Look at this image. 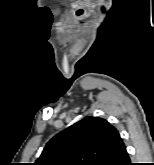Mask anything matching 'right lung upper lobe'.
Segmentation results:
<instances>
[{
	"mask_svg": "<svg viewBox=\"0 0 154 165\" xmlns=\"http://www.w3.org/2000/svg\"><path fill=\"white\" fill-rule=\"evenodd\" d=\"M120 140L105 119L86 117L54 136L34 165H106Z\"/></svg>",
	"mask_w": 154,
	"mask_h": 165,
	"instance_id": "right-lung-upper-lobe-1",
	"label": "right lung upper lobe"
}]
</instances>
